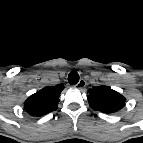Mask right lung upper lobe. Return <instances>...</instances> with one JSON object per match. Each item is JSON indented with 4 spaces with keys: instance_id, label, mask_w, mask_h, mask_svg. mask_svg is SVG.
I'll return each instance as SVG.
<instances>
[{
    "instance_id": "1",
    "label": "right lung upper lobe",
    "mask_w": 143,
    "mask_h": 143,
    "mask_svg": "<svg viewBox=\"0 0 143 143\" xmlns=\"http://www.w3.org/2000/svg\"><path fill=\"white\" fill-rule=\"evenodd\" d=\"M64 89L62 84L45 87L31 95L24 103V110L32 116L46 115L58 107L59 97Z\"/></svg>"
}]
</instances>
